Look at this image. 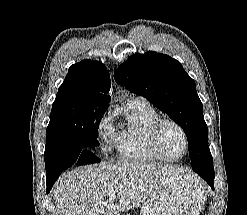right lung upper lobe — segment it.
<instances>
[{"instance_id": "1", "label": "right lung upper lobe", "mask_w": 247, "mask_h": 215, "mask_svg": "<svg viewBox=\"0 0 247 215\" xmlns=\"http://www.w3.org/2000/svg\"><path fill=\"white\" fill-rule=\"evenodd\" d=\"M110 87V75L105 65L86 59L70 66L58 92L71 91L84 101L107 106Z\"/></svg>"}]
</instances>
